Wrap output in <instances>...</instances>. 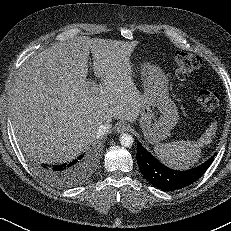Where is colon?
I'll return each instance as SVG.
<instances>
[{"label":"colon","instance_id":"obj_1","mask_svg":"<svg viewBox=\"0 0 231 231\" xmlns=\"http://www.w3.org/2000/svg\"><path fill=\"white\" fill-rule=\"evenodd\" d=\"M176 74L183 82L201 65V59L194 54L178 53L175 57ZM198 106L203 110H213L218 105V96L210 90H201L196 96Z\"/></svg>","mask_w":231,"mask_h":231}]
</instances>
